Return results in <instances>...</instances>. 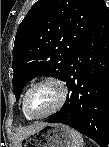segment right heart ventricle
<instances>
[{"label": "right heart ventricle", "mask_w": 109, "mask_h": 147, "mask_svg": "<svg viewBox=\"0 0 109 147\" xmlns=\"http://www.w3.org/2000/svg\"><path fill=\"white\" fill-rule=\"evenodd\" d=\"M22 110H23V113H24V115H25V117H26L27 119H29V120H32V119H33L32 117L28 116V115L25 113V111H24V109H23V103H22Z\"/></svg>", "instance_id": "right-heart-ventricle-1"}]
</instances>
